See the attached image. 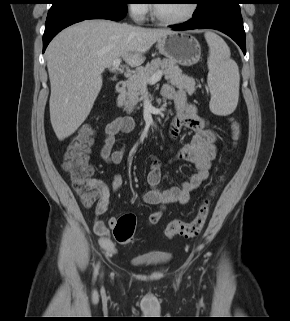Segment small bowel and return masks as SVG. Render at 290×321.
Instances as JSON below:
<instances>
[{
  "instance_id": "c3829d8e",
  "label": "small bowel",
  "mask_w": 290,
  "mask_h": 321,
  "mask_svg": "<svg viewBox=\"0 0 290 321\" xmlns=\"http://www.w3.org/2000/svg\"><path fill=\"white\" fill-rule=\"evenodd\" d=\"M162 96L172 100L175 104L176 115L169 128V135L175 138L183 128L192 130L195 135L191 143L181 147L176 158L191 163L195 167V172L188 181L182 183L180 187H171L166 190L159 188L162 176V164L155 160L147 176L149 189L142 194V199L149 204L158 206L147 218L148 225L157 224L162 218L168 204L179 203L185 205L189 202L191 194L199 188L208 178L211 163L217 154L216 135L208 127L205 119L197 114L196 107L187 101V94L183 88H175L165 84L162 87ZM135 127L132 117L121 116L112 120L105 128V137L100 148V157L108 164L117 165L123 160L125 148L112 151L116 141V136L131 132ZM98 193V201L94 208L93 228L101 239V245L108 251L113 249L109 241V228L113 227L117 221L115 217L109 219L108 225L100 218L109 206L112 193L119 191L123 180L119 173L113 176L110 186L99 178L91 179Z\"/></svg>"
}]
</instances>
